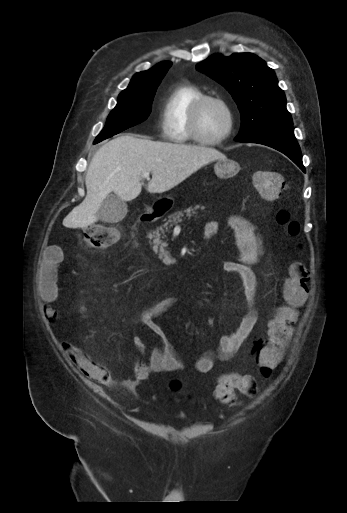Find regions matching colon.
Returning a JSON list of instances; mask_svg holds the SVG:
<instances>
[{"instance_id": "colon-1", "label": "colon", "mask_w": 347, "mask_h": 513, "mask_svg": "<svg viewBox=\"0 0 347 513\" xmlns=\"http://www.w3.org/2000/svg\"><path fill=\"white\" fill-rule=\"evenodd\" d=\"M252 184L258 194L266 200H276L282 194L285 185L283 177L274 171H258L253 174ZM277 221L284 224L288 233L299 236L301 224L287 210L277 214ZM117 229L104 225H92L83 232L85 246L90 251H99L113 246L119 240ZM309 270L301 262L293 263L284 279L282 293L284 304L275 308L268 323V337L260 340L257 347V374L261 379H272L279 369V363L285 356L284 346L292 336L293 325L297 320V306L307 297ZM171 388H180L178 381ZM257 380L253 376L238 373L223 374L219 377L214 395L217 400L232 405L235 392L252 396L257 392Z\"/></svg>"}]
</instances>
